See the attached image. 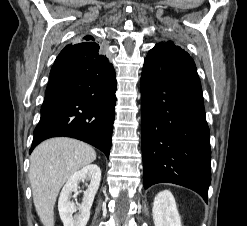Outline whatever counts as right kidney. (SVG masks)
<instances>
[{
    "mask_svg": "<svg viewBox=\"0 0 247 226\" xmlns=\"http://www.w3.org/2000/svg\"><path fill=\"white\" fill-rule=\"evenodd\" d=\"M84 180H89L90 184L84 192L82 203L76 206L70 200L72 198L71 195L73 192L77 193L79 183ZM100 180L101 170L95 164L87 165L69 177L60 193L58 201V210L64 226H86ZM77 211L78 213L73 216V213Z\"/></svg>",
    "mask_w": 247,
    "mask_h": 226,
    "instance_id": "1",
    "label": "right kidney"
}]
</instances>
